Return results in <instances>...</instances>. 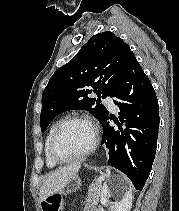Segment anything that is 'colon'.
Here are the masks:
<instances>
[{"label": "colon", "instance_id": "1", "mask_svg": "<svg viewBox=\"0 0 179 211\" xmlns=\"http://www.w3.org/2000/svg\"><path fill=\"white\" fill-rule=\"evenodd\" d=\"M63 200L59 194H54L47 197L42 202L43 211H62Z\"/></svg>", "mask_w": 179, "mask_h": 211}]
</instances>
